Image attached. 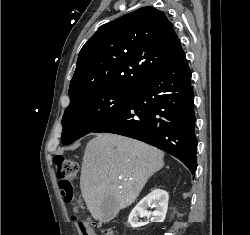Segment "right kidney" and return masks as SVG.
<instances>
[{"mask_svg": "<svg viewBox=\"0 0 250 235\" xmlns=\"http://www.w3.org/2000/svg\"><path fill=\"white\" fill-rule=\"evenodd\" d=\"M169 195L165 190L154 189L151 193L145 196L131 211L128 223L133 228L144 226L146 222H142L139 218L152 216L153 222H163L168 209ZM148 207H155L153 212H148Z\"/></svg>", "mask_w": 250, "mask_h": 235, "instance_id": "1", "label": "right kidney"}]
</instances>
